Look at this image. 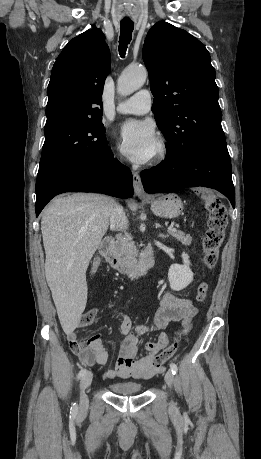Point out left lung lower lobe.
Returning <instances> with one entry per match:
<instances>
[{
	"mask_svg": "<svg viewBox=\"0 0 261 459\" xmlns=\"http://www.w3.org/2000/svg\"><path fill=\"white\" fill-rule=\"evenodd\" d=\"M140 176L147 193L204 186L224 194L235 207L231 162L226 143L198 148L184 159L166 156L161 164L142 171Z\"/></svg>",
	"mask_w": 261,
	"mask_h": 459,
	"instance_id": "1",
	"label": "left lung lower lobe"
}]
</instances>
